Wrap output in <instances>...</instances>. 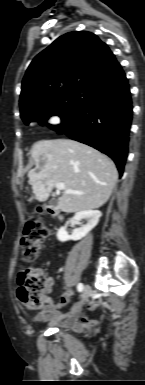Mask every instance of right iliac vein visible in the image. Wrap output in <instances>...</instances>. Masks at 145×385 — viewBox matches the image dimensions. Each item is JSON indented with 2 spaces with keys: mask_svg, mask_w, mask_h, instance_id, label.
I'll return each instance as SVG.
<instances>
[{
  "mask_svg": "<svg viewBox=\"0 0 145 385\" xmlns=\"http://www.w3.org/2000/svg\"><path fill=\"white\" fill-rule=\"evenodd\" d=\"M90 287L88 285L85 286L83 292H82V295H81V301L82 302H86L90 296Z\"/></svg>",
  "mask_w": 145,
  "mask_h": 385,
  "instance_id": "obj_1",
  "label": "right iliac vein"
}]
</instances>
